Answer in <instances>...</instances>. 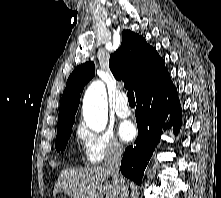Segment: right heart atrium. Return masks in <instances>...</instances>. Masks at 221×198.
<instances>
[{"label":"right heart atrium","instance_id":"1","mask_svg":"<svg viewBox=\"0 0 221 198\" xmlns=\"http://www.w3.org/2000/svg\"><path fill=\"white\" fill-rule=\"evenodd\" d=\"M77 135L88 164L97 165L105 160L119 159L123 155L122 145L109 131L96 132L80 126Z\"/></svg>","mask_w":221,"mask_h":198}]
</instances>
